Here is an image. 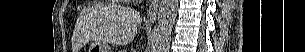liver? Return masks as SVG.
I'll return each mask as SVG.
<instances>
[{
	"mask_svg": "<svg viewBox=\"0 0 305 52\" xmlns=\"http://www.w3.org/2000/svg\"><path fill=\"white\" fill-rule=\"evenodd\" d=\"M142 22L139 12L121 5L105 7L92 25H88L86 34L88 39L110 43L114 45H127L136 36L137 28Z\"/></svg>",
	"mask_w": 305,
	"mask_h": 52,
	"instance_id": "obj_1",
	"label": "liver"
}]
</instances>
